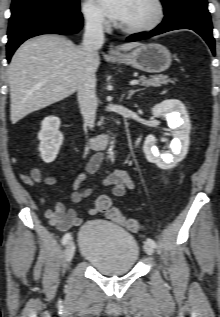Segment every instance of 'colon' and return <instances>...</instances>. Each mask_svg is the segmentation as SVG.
<instances>
[{
    "label": "colon",
    "mask_w": 220,
    "mask_h": 317,
    "mask_svg": "<svg viewBox=\"0 0 220 317\" xmlns=\"http://www.w3.org/2000/svg\"><path fill=\"white\" fill-rule=\"evenodd\" d=\"M103 207L109 220L124 225L131 232H139L142 229V225L138 220L124 217L109 199L103 201Z\"/></svg>",
    "instance_id": "obj_1"
}]
</instances>
